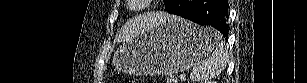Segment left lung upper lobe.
Here are the masks:
<instances>
[{"mask_svg":"<svg viewBox=\"0 0 307 83\" xmlns=\"http://www.w3.org/2000/svg\"><path fill=\"white\" fill-rule=\"evenodd\" d=\"M164 1V4H165V7H166V10L168 8H170L173 4V0H163Z\"/></svg>","mask_w":307,"mask_h":83,"instance_id":"left-lung-upper-lobe-1","label":"left lung upper lobe"}]
</instances>
